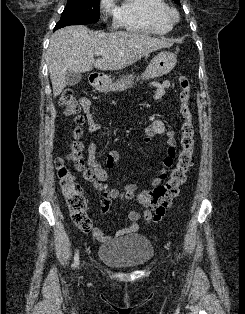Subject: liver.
Wrapping results in <instances>:
<instances>
[{"mask_svg":"<svg viewBox=\"0 0 245 314\" xmlns=\"http://www.w3.org/2000/svg\"><path fill=\"white\" fill-rule=\"evenodd\" d=\"M173 41L138 32H93L86 26H67L56 31L47 50V65L57 97L66 87L68 72H89L93 66L102 71L120 70L149 53L168 48ZM104 52L95 60L97 52Z\"/></svg>","mask_w":245,"mask_h":314,"instance_id":"obj_1","label":"liver"}]
</instances>
